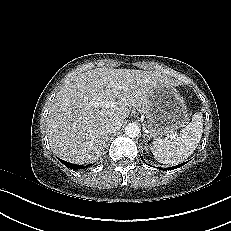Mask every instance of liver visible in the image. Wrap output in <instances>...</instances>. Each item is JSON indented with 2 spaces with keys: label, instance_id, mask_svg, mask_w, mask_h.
Wrapping results in <instances>:
<instances>
[{
  "label": "liver",
  "instance_id": "6515ba94",
  "mask_svg": "<svg viewBox=\"0 0 231 231\" xmlns=\"http://www.w3.org/2000/svg\"><path fill=\"white\" fill-rule=\"evenodd\" d=\"M158 84L177 86L156 71L101 67L80 74L60 89L50 107L46 128L52 151L72 163L95 162L109 138L106 125H121L131 108L144 110ZM106 101L116 104L94 105Z\"/></svg>",
  "mask_w": 231,
  "mask_h": 231
}]
</instances>
